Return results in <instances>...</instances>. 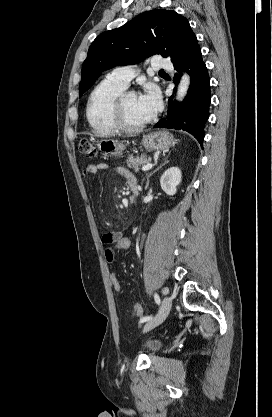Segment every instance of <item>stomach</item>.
<instances>
[{"label": "stomach", "mask_w": 272, "mask_h": 417, "mask_svg": "<svg viewBox=\"0 0 272 417\" xmlns=\"http://www.w3.org/2000/svg\"><path fill=\"white\" fill-rule=\"evenodd\" d=\"M175 139L172 134L166 131H157L145 135L142 145L149 151L168 150L175 145ZM98 148L108 157H117L122 155L125 145L117 140L103 139L99 141Z\"/></svg>", "instance_id": "1"}]
</instances>
